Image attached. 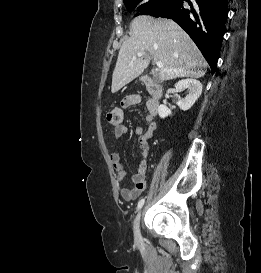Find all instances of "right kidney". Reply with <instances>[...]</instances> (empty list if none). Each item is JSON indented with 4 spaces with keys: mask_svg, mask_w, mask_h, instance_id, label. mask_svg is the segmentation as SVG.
Returning a JSON list of instances; mask_svg holds the SVG:
<instances>
[{
    "mask_svg": "<svg viewBox=\"0 0 261 273\" xmlns=\"http://www.w3.org/2000/svg\"><path fill=\"white\" fill-rule=\"evenodd\" d=\"M188 89V95L183 99H178L177 105L183 111L189 110L202 93V84L196 79H183L178 81L173 91L175 93ZM158 114L160 118H165L171 114V110L164 104L158 107Z\"/></svg>",
    "mask_w": 261,
    "mask_h": 273,
    "instance_id": "ca27d5eb",
    "label": "right kidney"
}]
</instances>
